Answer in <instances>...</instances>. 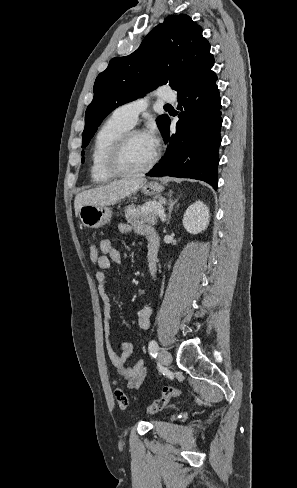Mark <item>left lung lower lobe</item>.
<instances>
[{
  "mask_svg": "<svg viewBox=\"0 0 297 488\" xmlns=\"http://www.w3.org/2000/svg\"><path fill=\"white\" fill-rule=\"evenodd\" d=\"M216 81V74L211 72L193 88L178 95L181 112L176 131L170 133L168 118L162 133L167 152L147 176L193 178L217 189L222 106Z\"/></svg>",
  "mask_w": 297,
  "mask_h": 488,
  "instance_id": "0a47b994",
  "label": "left lung lower lobe"
}]
</instances>
